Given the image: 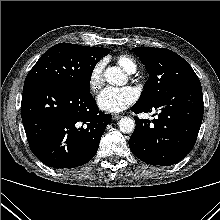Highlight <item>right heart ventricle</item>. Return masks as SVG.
I'll list each match as a JSON object with an SVG mask.
<instances>
[{"label": "right heart ventricle", "mask_w": 220, "mask_h": 220, "mask_svg": "<svg viewBox=\"0 0 220 220\" xmlns=\"http://www.w3.org/2000/svg\"><path fill=\"white\" fill-rule=\"evenodd\" d=\"M117 63L127 72L131 73L136 70V62L129 55H120L117 57Z\"/></svg>", "instance_id": "obj_1"}]
</instances>
